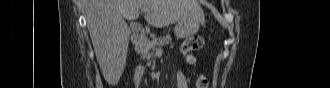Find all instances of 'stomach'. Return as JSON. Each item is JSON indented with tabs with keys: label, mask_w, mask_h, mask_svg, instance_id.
I'll return each instance as SVG.
<instances>
[{
	"label": "stomach",
	"mask_w": 330,
	"mask_h": 88,
	"mask_svg": "<svg viewBox=\"0 0 330 88\" xmlns=\"http://www.w3.org/2000/svg\"><path fill=\"white\" fill-rule=\"evenodd\" d=\"M199 19H183L178 21L175 26L174 32L179 39H184L194 35L202 23Z\"/></svg>",
	"instance_id": "stomach-1"
}]
</instances>
